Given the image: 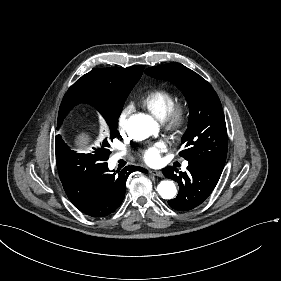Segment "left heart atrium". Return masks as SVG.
<instances>
[{
    "instance_id": "left-heart-atrium-1",
    "label": "left heart atrium",
    "mask_w": 281,
    "mask_h": 281,
    "mask_svg": "<svg viewBox=\"0 0 281 281\" xmlns=\"http://www.w3.org/2000/svg\"><path fill=\"white\" fill-rule=\"evenodd\" d=\"M165 144L157 142L149 147L143 148L138 152V156L149 165H156L160 162V154L164 150Z\"/></svg>"
}]
</instances>
